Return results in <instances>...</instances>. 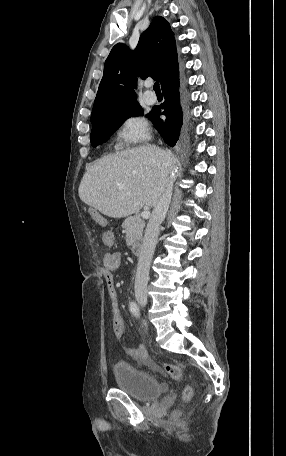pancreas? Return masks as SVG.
I'll return each instance as SVG.
<instances>
[{"instance_id":"obj_1","label":"pancreas","mask_w":286,"mask_h":456,"mask_svg":"<svg viewBox=\"0 0 286 456\" xmlns=\"http://www.w3.org/2000/svg\"><path fill=\"white\" fill-rule=\"evenodd\" d=\"M145 222L139 215L128 217L122 224V228L126 232L127 246L134 245L142 240Z\"/></svg>"}]
</instances>
